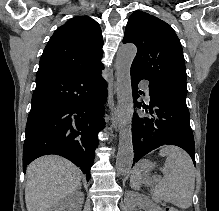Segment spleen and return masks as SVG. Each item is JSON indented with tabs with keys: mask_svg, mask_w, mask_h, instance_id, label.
I'll use <instances>...</instances> for the list:
<instances>
[{
	"mask_svg": "<svg viewBox=\"0 0 219 211\" xmlns=\"http://www.w3.org/2000/svg\"><path fill=\"white\" fill-rule=\"evenodd\" d=\"M159 155L167 157L163 173L164 177L157 179L154 189L155 201H169L177 207L187 209L192 205V195L195 187V173L193 161L181 147L166 145L160 149ZM142 175L139 169H132L130 185L133 189H140Z\"/></svg>",
	"mask_w": 219,
	"mask_h": 211,
	"instance_id": "spleen-1",
	"label": "spleen"
}]
</instances>
